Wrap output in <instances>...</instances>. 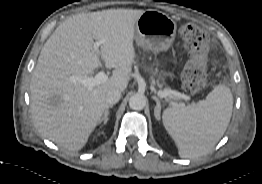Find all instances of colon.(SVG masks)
<instances>
[{"label":"colon","mask_w":262,"mask_h":184,"mask_svg":"<svg viewBox=\"0 0 262 184\" xmlns=\"http://www.w3.org/2000/svg\"><path fill=\"white\" fill-rule=\"evenodd\" d=\"M188 59L182 69L183 88L189 93L203 90L207 83V62L210 47L208 33L193 23H185L180 28Z\"/></svg>","instance_id":"colon-1"}]
</instances>
